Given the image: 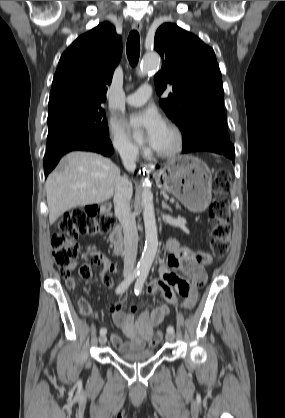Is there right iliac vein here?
Returning <instances> with one entry per match:
<instances>
[{
  "instance_id": "obj_1",
  "label": "right iliac vein",
  "mask_w": 285,
  "mask_h": 418,
  "mask_svg": "<svg viewBox=\"0 0 285 418\" xmlns=\"http://www.w3.org/2000/svg\"><path fill=\"white\" fill-rule=\"evenodd\" d=\"M106 340H107V337H106V335H105V334H102V335L99 337V343H100L101 345L105 344Z\"/></svg>"
}]
</instances>
